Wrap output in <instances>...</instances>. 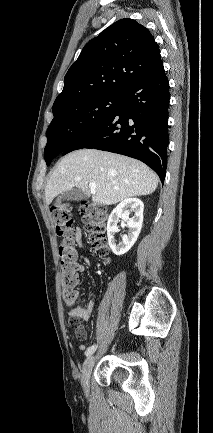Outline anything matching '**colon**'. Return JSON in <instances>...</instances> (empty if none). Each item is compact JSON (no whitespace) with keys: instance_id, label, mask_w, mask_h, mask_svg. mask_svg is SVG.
<instances>
[{"instance_id":"5ec220e1","label":"colon","mask_w":213,"mask_h":433,"mask_svg":"<svg viewBox=\"0 0 213 433\" xmlns=\"http://www.w3.org/2000/svg\"><path fill=\"white\" fill-rule=\"evenodd\" d=\"M81 215L85 231L94 253L100 258H106L109 252L106 242L107 209L100 204L84 201L81 203ZM52 220L56 234L61 238L59 256L61 260V285L63 301L71 306L77 299L76 250L72 238L73 213L69 204H61L52 210ZM70 326L78 338L82 337L83 327L79 319L72 318Z\"/></svg>"}]
</instances>
